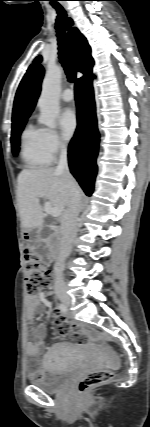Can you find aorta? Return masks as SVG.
Here are the masks:
<instances>
[{
  "mask_svg": "<svg viewBox=\"0 0 150 427\" xmlns=\"http://www.w3.org/2000/svg\"><path fill=\"white\" fill-rule=\"evenodd\" d=\"M62 77V68L52 66L47 69L42 83V91L38 100L40 109L39 122L49 128L56 127V118L59 114V93Z\"/></svg>",
  "mask_w": 150,
  "mask_h": 427,
  "instance_id": "aorta-1",
  "label": "aorta"
}]
</instances>
